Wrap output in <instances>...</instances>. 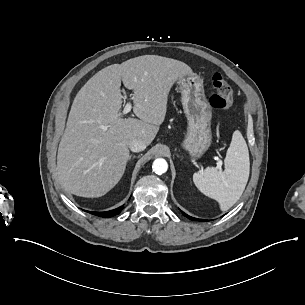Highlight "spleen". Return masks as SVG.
Segmentation results:
<instances>
[{"mask_svg": "<svg viewBox=\"0 0 305 305\" xmlns=\"http://www.w3.org/2000/svg\"><path fill=\"white\" fill-rule=\"evenodd\" d=\"M225 170L208 167L193 175L195 186L206 196L217 200L226 211L241 197L250 173L249 151L241 132H233L226 153Z\"/></svg>", "mask_w": 305, "mask_h": 305, "instance_id": "3e777b00", "label": "spleen"}]
</instances>
